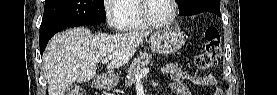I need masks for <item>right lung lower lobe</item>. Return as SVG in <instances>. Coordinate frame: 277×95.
Wrapping results in <instances>:
<instances>
[{
  "label": "right lung lower lobe",
  "instance_id": "right-lung-lower-lobe-1",
  "mask_svg": "<svg viewBox=\"0 0 277 95\" xmlns=\"http://www.w3.org/2000/svg\"><path fill=\"white\" fill-rule=\"evenodd\" d=\"M64 28H54V29H50V30H47V31H44L42 33H40V52H41V55L43 54L45 48H46V45L48 43V41L51 39V37L57 33L58 31L62 30Z\"/></svg>",
  "mask_w": 277,
  "mask_h": 95
}]
</instances>
